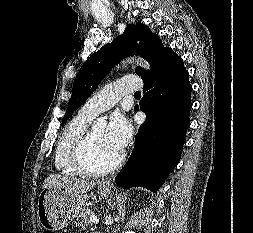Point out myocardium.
I'll list each match as a JSON object with an SVG mask.
<instances>
[{
	"mask_svg": "<svg viewBox=\"0 0 253 233\" xmlns=\"http://www.w3.org/2000/svg\"><path fill=\"white\" fill-rule=\"evenodd\" d=\"M92 140V130H87L75 146L72 162L75 168L85 175L99 176L107 174L119 167L124 160V153L120 154L110 163L102 167L92 166L87 158Z\"/></svg>",
	"mask_w": 253,
	"mask_h": 233,
	"instance_id": "1",
	"label": "myocardium"
}]
</instances>
